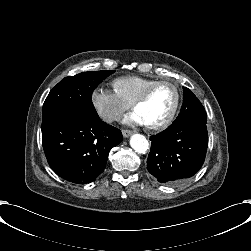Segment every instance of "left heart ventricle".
Wrapping results in <instances>:
<instances>
[{
	"instance_id": "b2bd125f",
	"label": "left heart ventricle",
	"mask_w": 251,
	"mask_h": 251,
	"mask_svg": "<svg viewBox=\"0 0 251 251\" xmlns=\"http://www.w3.org/2000/svg\"><path fill=\"white\" fill-rule=\"evenodd\" d=\"M176 90L173 85H159L150 98L136 110L141 114L145 124L153 125L162 122L172 111L176 102Z\"/></svg>"
}]
</instances>
